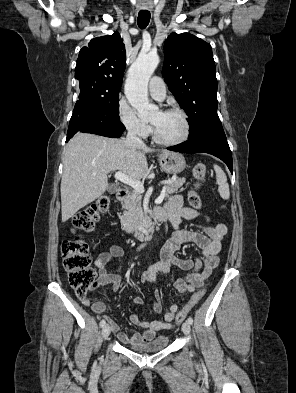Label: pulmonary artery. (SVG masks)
Returning <instances> with one entry per match:
<instances>
[{"label": "pulmonary artery", "mask_w": 296, "mask_h": 393, "mask_svg": "<svg viewBox=\"0 0 296 393\" xmlns=\"http://www.w3.org/2000/svg\"><path fill=\"white\" fill-rule=\"evenodd\" d=\"M149 91L151 96L158 101H162L165 98L166 86L161 77L154 76L150 79Z\"/></svg>", "instance_id": "pulmonary-artery-1"}]
</instances>
